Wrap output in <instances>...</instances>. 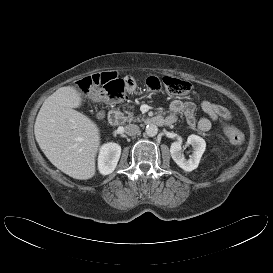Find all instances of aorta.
Here are the masks:
<instances>
[{
    "label": "aorta",
    "mask_w": 273,
    "mask_h": 273,
    "mask_svg": "<svg viewBox=\"0 0 273 273\" xmlns=\"http://www.w3.org/2000/svg\"><path fill=\"white\" fill-rule=\"evenodd\" d=\"M145 132L149 137H154L158 133V127L155 124H148L146 126Z\"/></svg>",
    "instance_id": "762f6f07"
}]
</instances>
